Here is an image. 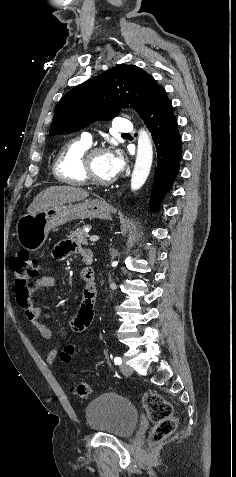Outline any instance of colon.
Segmentation results:
<instances>
[{"label":"colon","mask_w":236,"mask_h":477,"mask_svg":"<svg viewBox=\"0 0 236 477\" xmlns=\"http://www.w3.org/2000/svg\"><path fill=\"white\" fill-rule=\"evenodd\" d=\"M11 269L14 277V293L16 299L23 293L32 290V281L40 271L39 261L32 259L26 250L19 251L11 260ZM74 347L68 345L61 353L62 361H69L74 354ZM72 391L80 398H87L92 393L91 387L82 381L72 386ZM143 406L149 418L155 423L154 440L161 441L172 434L177 426L171 404L155 392L144 394Z\"/></svg>","instance_id":"colon-1"}]
</instances>
